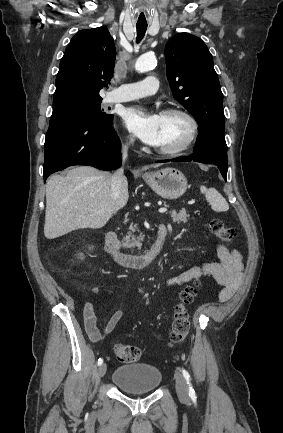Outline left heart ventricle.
<instances>
[{
	"instance_id": "b2bd125f",
	"label": "left heart ventricle",
	"mask_w": 283,
	"mask_h": 433,
	"mask_svg": "<svg viewBox=\"0 0 283 433\" xmlns=\"http://www.w3.org/2000/svg\"><path fill=\"white\" fill-rule=\"evenodd\" d=\"M163 141L159 151H169L178 148L189 136L190 124L186 118L177 114H163Z\"/></svg>"
}]
</instances>
